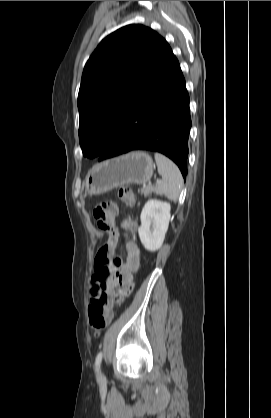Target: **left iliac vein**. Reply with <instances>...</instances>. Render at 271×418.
Listing matches in <instances>:
<instances>
[{
    "mask_svg": "<svg viewBox=\"0 0 271 418\" xmlns=\"http://www.w3.org/2000/svg\"><path fill=\"white\" fill-rule=\"evenodd\" d=\"M100 377L102 378L103 376H102V374H100Z\"/></svg>",
    "mask_w": 271,
    "mask_h": 418,
    "instance_id": "1",
    "label": "left iliac vein"
}]
</instances>
